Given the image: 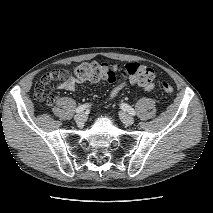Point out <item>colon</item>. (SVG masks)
Returning <instances> with one entry per match:
<instances>
[{
	"mask_svg": "<svg viewBox=\"0 0 213 213\" xmlns=\"http://www.w3.org/2000/svg\"><path fill=\"white\" fill-rule=\"evenodd\" d=\"M63 71H53L42 76L34 89L35 99L40 102L51 104L52 99L45 94L46 86L53 80L66 76ZM73 75L81 82H98L106 81L110 83L121 81L111 91V97H116L121 92L122 80H129L131 83L143 86L145 88L154 87L155 71L145 65L139 63H128L125 65H115L109 63L84 62L73 68ZM165 93H173V87L163 82L161 85Z\"/></svg>",
	"mask_w": 213,
	"mask_h": 213,
	"instance_id": "1",
	"label": "colon"
}]
</instances>
